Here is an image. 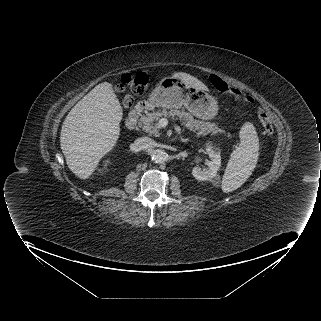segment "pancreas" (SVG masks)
Segmentation results:
<instances>
[{
    "mask_svg": "<svg viewBox=\"0 0 321 321\" xmlns=\"http://www.w3.org/2000/svg\"><path fill=\"white\" fill-rule=\"evenodd\" d=\"M177 117L183 126H185L190 131L194 132L197 136L207 135L211 133V135H216L218 133L225 134V130L220 129L215 123L205 122L194 119V117L186 112L184 109L177 110H159L152 113H146L140 118V126L142 129L150 135L155 137L160 136V126L157 121H159L162 117Z\"/></svg>",
    "mask_w": 321,
    "mask_h": 321,
    "instance_id": "obj_1",
    "label": "pancreas"
}]
</instances>
